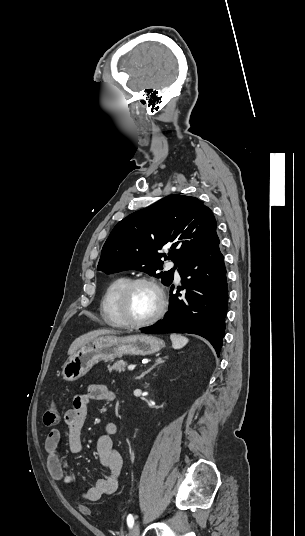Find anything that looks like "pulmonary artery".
Listing matches in <instances>:
<instances>
[{
  "mask_svg": "<svg viewBox=\"0 0 305 536\" xmlns=\"http://www.w3.org/2000/svg\"><path fill=\"white\" fill-rule=\"evenodd\" d=\"M167 267L169 269H174V277H175V280L178 282L180 281L181 279V276H180V272H179V269L178 267L176 266V264L173 262V261H169L167 264Z\"/></svg>",
  "mask_w": 305,
  "mask_h": 536,
  "instance_id": "e3ab8cb5",
  "label": "pulmonary artery"
}]
</instances>
